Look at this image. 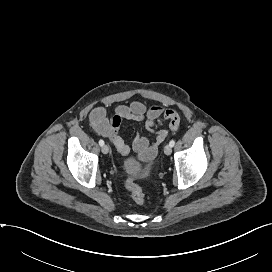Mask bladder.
Wrapping results in <instances>:
<instances>
[{"mask_svg": "<svg viewBox=\"0 0 272 272\" xmlns=\"http://www.w3.org/2000/svg\"><path fill=\"white\" fill-rule=\"evenodd\" d=\"M123 168L126 173L130 175H136L140 171V163L135 159L129 158L124 161Z\"/></svg>", "mask_w": 272, "mask_h": 272, "instance_id": "bladder-1", "label": "bladder"}]
</instances>
